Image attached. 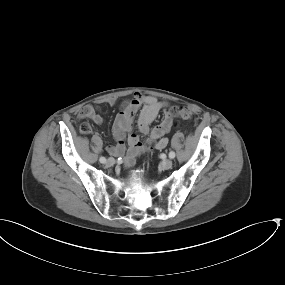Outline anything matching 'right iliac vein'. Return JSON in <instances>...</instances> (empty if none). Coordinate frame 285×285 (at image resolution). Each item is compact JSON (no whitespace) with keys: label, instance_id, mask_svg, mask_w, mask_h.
<instances>
[{"label":"right iliac vein","instance_id":"right-iliac-vein-1","mask_svg":"<svg viewBox=\"0 0 285 285\" xmlns=\"http://www.w3.org/2000/svg\"><path fill=\"white\" fill-rule=\"evenodd\" d=\"M106 164L108 166H113L115 164V159L114 158H109L107 161H106Z\"/></svg>","mask_w":285,"mask_h":285}]
</instances>
